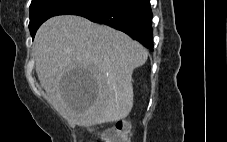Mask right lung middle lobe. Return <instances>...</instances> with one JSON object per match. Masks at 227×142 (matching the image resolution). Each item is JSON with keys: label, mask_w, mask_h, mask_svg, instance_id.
<instances>
[{"label": "right lung middle lobe", "mask_w": 227, "mask_h": 142, "mask_svg": "<svg viewBox=\"0 0 227 142\" xmlns=\"http://www.w3.org/2000/svg\"><path fill=\"white\" fill-rule=\"evenodd\" d=\"M109 0H32L29 29L34 37L40 25L50 17L64 14H80L98 8Z\"/></svg>", "instance_id": "1"}]
</instances>
